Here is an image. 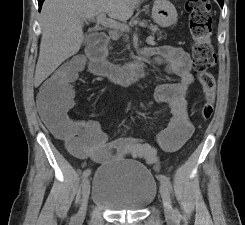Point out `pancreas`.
<instances>
[{"mask_svg":"<svg viewBox=\"0 0 245 225\" xmlns=\"http://www.w3.org/2000/svg\"><path fill=\"white\" fill-rule=\"evenodd\" d=\"M150 29L153 31V32H158L159 31V28H158V26H156V25H150ZM161 33V32H160Z\"/></svg>","mask_w":245,"mask_h":225,"instance_id":"pancreas-1","label":"pancreas"}]
</instances>
